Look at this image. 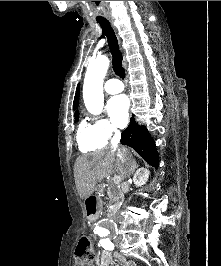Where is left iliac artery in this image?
Segmentation results:
<instances>
[{
	"mask_svg": "<svg viewBox=\"0 0 221 266\" xmlns=\"http://www.w3.org/2000/svg\"><path fill=\"white\" fill-rule=\"evenodd\" d=\"M100 237L107 236V232L99 231L97 233ZM101 246L106 249V250H113L114 249V244L107 238V239H101L100 240Z\"/></svg>",
	"mask_w": 221,
	"mask_h": 266,
	"instance_id": "44dca946",
	"label": "left iliac artery"
}]
</instances>
